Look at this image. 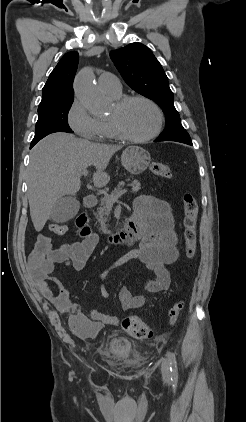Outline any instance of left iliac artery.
I'll return each instance as SVG.
<instances>
[{
  "label": "left iliac artery",
  "instance_id": "44dca946",
  "mask_svg": "<svg viewBox=\"0 0 246 422\" xmlns=\"http://www.w3.org/2000/svg\"><path fill=\"white\" fill-rule=\"evenodd\" d=\"M168 359H169V363H170V371H171V374H172V379L174 381H176L177 377H178V368H177V362H176L175 355L171 352H168Z\"/></svg>",
  "mask_w": 246,
  "mask_h": 422
}]
</instances>
